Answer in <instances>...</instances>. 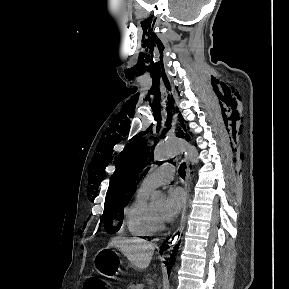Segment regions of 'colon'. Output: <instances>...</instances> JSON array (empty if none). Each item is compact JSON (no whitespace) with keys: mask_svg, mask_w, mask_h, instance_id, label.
Segmentation results:
<instances>
[{"mask_svg":"<svg viewBox=\"0 0 289 289\" xmlns=\"http://www.w3.org/2000/svg\"><path fill=\"white\" fill-rule=\"evenodd\" d=\"M84 289H105V283L100 278H90L85 283Z\"/></svg>","mask_w":289,"mask_h":289,"instance_id":"colon-1","label":"colon"}]
</instances>
